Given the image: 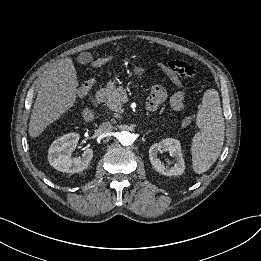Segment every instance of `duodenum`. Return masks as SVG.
<instances>
[{
  "instance_id": "obj_1",
  "label": "duodenum",
  "mask_w": 261,
  "mask_h": 261,
  "mask_svg": "<svg viewBox=\"0 0 261 261\" xmlns=\"http://www.w3.org/2000/svg\"><path fill=\"white\" fill-rule=\"evenodd\" d=\"M104 96H105V89H103V88L99 89V90L96 92V94H95V102H96L98 105H101L102 102H103Z\"/></svg>"
}]
</instances>
